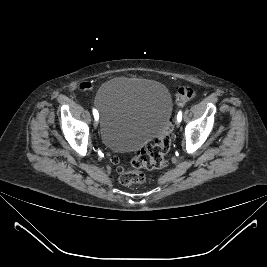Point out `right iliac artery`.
Masks as SVG:
<instances>
[{
	"label": "right iliac artery",
	"mask_w": 267,
	"mask_h": 267,
	"mask_svg": "<svg viewBox=\"0 0 267 267\" xmlns=\"http://www.w3.org/2000/svg\"><path fill=\"white\" fill-rule=\"evenodd\" d=\"M93 115H94V118L97 120L98 119V112L93 109Z\"/></svg>",
	"instance_id": "right-iliac-artery-1"
}]
</instances>
